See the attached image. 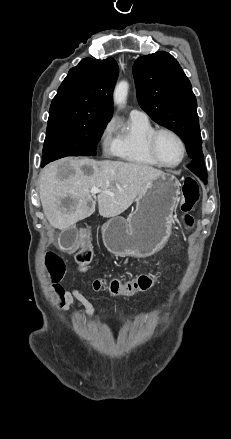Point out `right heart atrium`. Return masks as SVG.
Instances as JSON below:
<instances>
[{
    "label": "right heart atrium",
    "instance_id": "right-heart-atrium-1",
    "mask_svg": "<svg viewBox=\"0 0 231 439\" xmlns=\"http://www.w3.org/2000/svg\"><path fill=\"white\" fill-rule=\"evenodd\" d=\"M115 120L107 121L100 132V143L105 154H111L115 144Z\"/></svg>",
    "mask_w": 231,
    "mask_h": 439
}]
</instances>
